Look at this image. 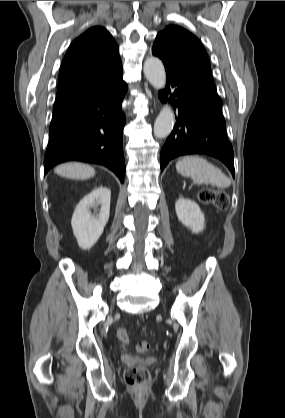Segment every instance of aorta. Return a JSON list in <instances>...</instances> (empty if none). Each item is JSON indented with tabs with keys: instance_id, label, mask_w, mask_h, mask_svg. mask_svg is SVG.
<instances>
[{
	"instance_id": "aorta-1",
	"label": "aorta",
	"mask_w": 285,
	"mask_h": 418,
	"mask_svg": "<svg viewBox=\"0 0 285 418\" xmlns=\"http://www.w3.org/2000/svg\"><path fill=\"white\" fill-rule=\"evenodd\" d=\"M144 75L148 82L157 90L166 84V73L162 61L156 57H148L144 62ZM175 116L169 105H164L154 123L156 138H165L173 130Z\"/></svg>"
}]
</instances>
